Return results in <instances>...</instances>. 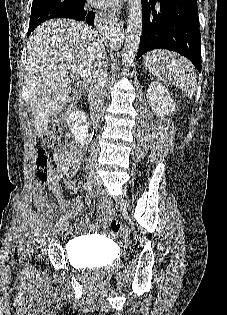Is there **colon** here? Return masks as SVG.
I'll list each match as a JSON object with an SVG mask.
<instances>
[{"mask_svg":"<svg viewBox=\"0 0 227 315\" xmlns=\"http://www.w3.org/2000/svg\"><path fill=\"white\" fill-rule=\"evenodd\" d=\"M69 132L64 125H52L49 127L43 143L46 147L57 150L65 151L68 146ZM51 174V166L49 157L43 148H39L35 152V169L34 179L38 183L47 182ZM110 228L114 233H120L124 236L129 234V231L117 221V219H110Z\"/></svg>","mask_w":227,"mask_h":315,"instance_id":"colon-1","label":"colon"}]
</instances>
